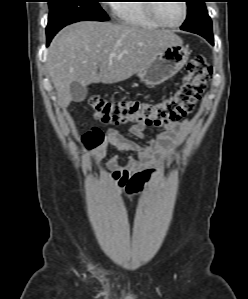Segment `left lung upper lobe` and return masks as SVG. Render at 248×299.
<instances>
[{"label":"left lung upper lobe","instance_id":"left-lung-upper-lobe-1","mask_svg":"<svg viewBox=\"0 0 248 299\" xmlns=\"http://www.w3.org/2000/svg\"><path fill=\"white\" fill-rule=\"evenodd\" d=\"M206 0H186L188 5V15L181 26L182 30L199 34V31H206L212 33V22L208 15Z\"/></svg>","mask_w":248,"mask_h":299}]
</instances>
